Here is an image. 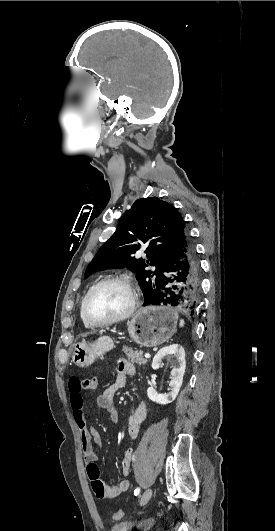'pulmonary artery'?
Returning a JSON list of instances; mask_svg holds the SVG:
<instances>
[{
	"label": "pulmonary artery",
	"mask_w": 275,
	"mask_h": 531,
	"mask_svg": "<svg viewBox=\"0 0 275 531\" xmlns=\"http://www.w3.org/2000/svg\"><path fill=\"white\" fill-rule=\"evenodd\" d=\"M158 266H161V263H158Z\"/></svg>",
	"instance_id": "1"
}]
</instances>
